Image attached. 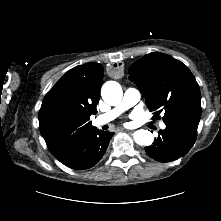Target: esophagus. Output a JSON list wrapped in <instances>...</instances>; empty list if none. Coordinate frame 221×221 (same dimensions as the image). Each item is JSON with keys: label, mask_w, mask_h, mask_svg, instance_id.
<instances>
[{"label": "esophagus", "mask_w": 221, "mask_h": 221, "mask_svg": "<svg viewBox=\"0 0 221 221\" xmlns=\"http://www.w3.org/2000/svg\"><path fill=\"white\" fill-rule=\"evenodd\" d=\"M121 131H124V129H121ZM129 133H132V132H130V131H128Z\"/></svg>", "instance_id": "34e87169"}]
</instances>
